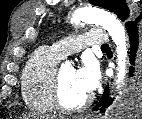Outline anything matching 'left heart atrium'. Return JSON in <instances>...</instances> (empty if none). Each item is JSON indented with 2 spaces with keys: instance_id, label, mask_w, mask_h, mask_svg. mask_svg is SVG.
Instances as JSON below:
<instances>
[{
  "instance_id": "left-heart-atrium-1",
  "label": "left heart atrium",
  "mask_w": 142,
  "mask_h": 119,
  "mask_svg": "<svg viewBox=\"0 0 142 119\" xmlns=\"http://www.w3.org/2000/svg\"><path fill=\"white\" fill-rule=\"evenodd\" d=\"M99 74L95 65L85 63L82 67L75 70V81L79 89L89 95L95 90L98 84Z\"/></svg>"
}]
</instances>
